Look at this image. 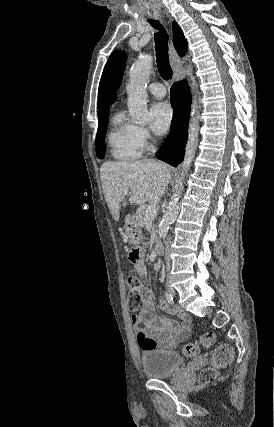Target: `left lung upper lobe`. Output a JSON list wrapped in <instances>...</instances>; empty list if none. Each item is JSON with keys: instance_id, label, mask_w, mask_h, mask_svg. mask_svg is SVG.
<instances>
[{"instance_id": "5c2ea615", "label": "left lung upper lobe", "mask_w": 274, "mask_h": 427, "mask_svg": "<svg viewBox=\"0 0 274 427\" xmlns=\"http://www.w3.org/2000/svg\"><path fill=\"white\" fill-rule=\"evenodd\" d=\"M126 54L122 51L114 61L105 82V99L108 103H114L116 100V91L118 90L123 71L125 68Z\"/></svg>"}]
</instances>
